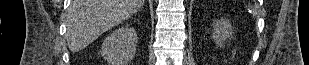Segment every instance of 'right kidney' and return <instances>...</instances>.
<instances>
[{
  "label": "right kidney",
  "instance_id": "obj_1",
  "mask_svg": "<svg viewBox=\"0 0 309 65\" xmlns=\"http://www.w3.org/2000/svg\"><path fill=\"white\" fill-rule=\"evenodd\" d=\"M137 42L133 28L121 27L103 41L101 55L111 65H127L135 55Z\"/></svg>",
  "mask_w": 309,
  "mask_h": 65
}]
</instances>
